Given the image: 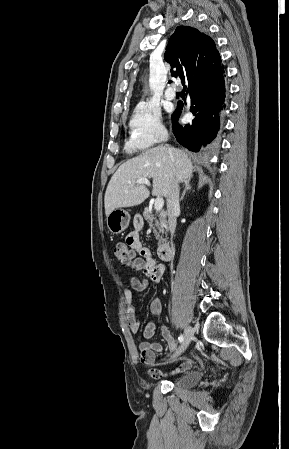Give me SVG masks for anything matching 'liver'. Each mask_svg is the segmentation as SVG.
Here are the masks:
<instances>
[{
    "instance_id": "1",
    "label": "liver",
    "mask_w": 289,
    "mask_h": 449,
    "mask_svg": "<svg viewBox=\"0 0 289 449\" xmlns=\"http://www.w3.org/2000/svg\"><path fill=\"white\" fill-rule=\"evenodd\" d=\"M193 165L188 155L180 150L158 146L123 163L111 177L104 198L105 214L113 210L140 205L150 192L139 178H152V194L167 198L173 177L185 182L192 177Z\"/></svg>"
}]
</instances>
